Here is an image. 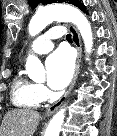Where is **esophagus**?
<instances>
[{
	"instance_id": "34e87169",
	"label": "esophagus",
	"mask_w": 117,
	"mask_h": 136,
	"mask_svg": "<svg viewBox=\"0 0 117 136\" xmlns=\"http://www.w3.org/2000/svg\"><path fill=\"white\" fill-rule=\"evenodd\" d=\"M68 30L71 33L72 36V40L73 43L77 49V59H76V66H75V71H74V75L73 78L71 80V83L69 85V88L67 89V91L64 93V95L54 104H52L50 107H48L45 111V116H49L52 113H54L62 104L63 102L66 100L67 96L69 95L70 91L72 90L75 81L77 79L78 73H79V68H80V62H81V57H82V48H81V40H80V36L78 31L76 30V28L72 25H67Z\"/></svg>"
}]
</instances>
